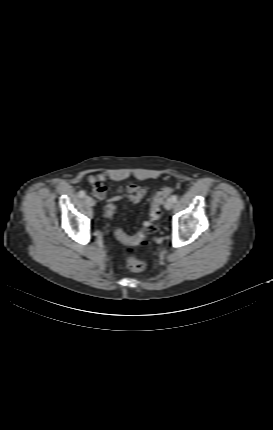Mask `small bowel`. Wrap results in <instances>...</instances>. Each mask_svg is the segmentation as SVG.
Returning <instances> with one entry per match:
<instances>
[{"label": "small bowel", "instance_id": "c3829d8e", "mask_svg": "<svg viewBox=\"0 0 273 430\" xmlns=\"http://www.w3.org/2000/svg\"><path fill=\"white\" fill-rule=\"evenodd\" d=\"M106 178V174L103 172L91 174L88 176V181L93 186L95 196L100 201L107 203V206L114 205L115 202L123 198H126L131 203L136 204L141 202L147 195V187L136 184H129L125 188L118 189L114 195L110 196L104 184ZM121 241L126 242V239H121Z\"/></svg>", "mask_w": 273, "mask_h": 430}]
</instances>
